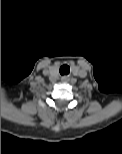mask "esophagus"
Wrapping results in <instances>:
<instances>
[{
    "label": "esophagus",
    "instance_id": "1",
    "mask_svg": "<svg viewBox=\"0 0 122 154\" xmlns=\"http://www.w3.org/2000/svg\"><path fill=\"white\" fill-rule=\"evenodd\" d=\"M62 80H63V81H66V80H67V78H66V77H63V78H62Z\"/></svg>",
    "mask_w": 122,
    "mask_h": 154
}]
</instances>
